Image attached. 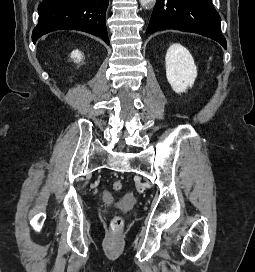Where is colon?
<instances>
[{"label": "colon", "instance_id": "colon-1", "mask_svg": "<svg viewBox=\"0 0 255 272\" xmlns=\"http://www.w3.org/2000/svg\"><path fill=\"white\" fill-rule=\"evenodd\" d=\"M112 187L115 191H120L123 187V183L117 180L113 183ZM110 225L113 230H119L123 226V219L120 216H114Z\"/></svg>", "mask_w": 255, "mask_h": 272}]
</instances>
